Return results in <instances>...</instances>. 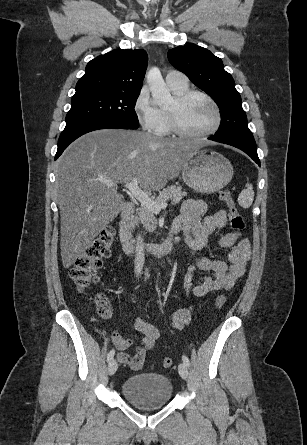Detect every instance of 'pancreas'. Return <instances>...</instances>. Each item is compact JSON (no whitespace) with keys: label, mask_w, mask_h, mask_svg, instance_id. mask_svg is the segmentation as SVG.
I'll return each mask as SVG.
<instances>
[{"label":"pancreas","mask_w":307,"mask_h":445,"mask_svg":"<svg viewBox=\"0 0 307 445\" xmlns=\"http://www.w3.org/2000/svg\"><path fill=\"white\" fill-rule=\"evenodd\" d=\"M187 192L181 190V186H167L164 190H161L159 196L155 198L156 202H166V200H171L173 204H177L182 200L183 196H186ZM134 220H139V223L143 225L146 231H152V229H156L157 218L155 216L154 210L148 208V206H142V208H138L137 216H135Z\"/></svg>","instance_id":"cf45deb5"}]
</instances>
